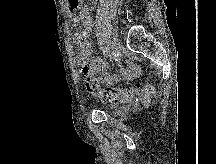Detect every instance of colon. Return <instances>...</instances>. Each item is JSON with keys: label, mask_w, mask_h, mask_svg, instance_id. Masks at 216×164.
Instances as JSON below:
<instances>
[{"label": "colon", "mask_w": 216, "mask_h": 164, "mask_svg": "<svg viewBox=\"0 0 216 164\" xmlns=\"http://www.w3.org/2000/svg\"><path fill=\"white\" fill-rule=\"evenodd\" d=\"M85 77L86 89L88 92L96 94L106 104L116 105L123 102H128L136 93L143 103H148L155 93V89L150 84H137L135 90L120 87L101 88L99 80L91 74L87 69H82Z\"/></svg>", "instance_id": "1"}]
</instances>
